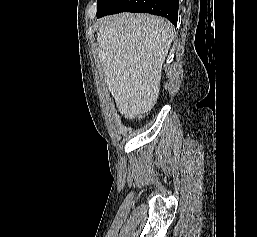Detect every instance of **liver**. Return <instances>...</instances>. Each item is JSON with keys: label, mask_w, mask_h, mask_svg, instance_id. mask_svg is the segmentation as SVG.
Returning a JSON list of instances; mask_svg holds the SVG:
<instances>
[{"label": "liver", "mask_w": 257, "mask_h": 237, "mask_svg": "<svg viewBox=\"0 0 257 237\" xmlns=\"http://www.w3.org/2000/svg\"><path fill=\"white\" fill-rule=\"evenodd\" d=\"M173 30L167 20L147 14L122 13L99 21L103 75L121 113L140 115L155 105Z\"/></svg>", "instance_id": "liver-1"}]
</instances>
